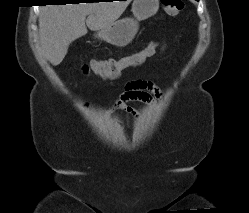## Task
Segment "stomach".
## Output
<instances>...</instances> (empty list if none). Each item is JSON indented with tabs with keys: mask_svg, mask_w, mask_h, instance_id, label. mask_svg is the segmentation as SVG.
Returning a JSON list of instances; mask_svg holds the SVG:
<instances>
[{
	"mask_svg": "<svg viewBox=\"0 0 249 213\" xmlns=\"http://www.w3.org/2000/svg\"><path fill=\"white\" fill-rule=\"evenodd\" d=\"M159 0H134L132 4L133 18L119 19L111 25L100 29L96 37L112 45L124 47L135 37L139 21L145 20L157 13Z\"/></svg>",
	"mask_w": 249,
	"mask_h": 213,
	"instance_id": "1",
	"label": "stomach"
}]
</instances>
